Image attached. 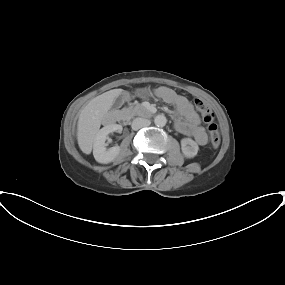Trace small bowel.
Returning a JSON list of instances; mask_svg holds the SVG:
<instances>
[{
    "label": "small bowel",
    "instance_id": "obj_1",
    "mask_svg": "<svg viewBox=\"0 0 285 285\" xmlns=\"http://www.w3.org/2000/svg\"><path fill=\"white\" fill-rule=\"evenodd\" d=\"M154 95L175 107V128L178 132L194 138L199 145L207 143L208 137L199 115L187 98L168 87H159Z\"/></svg>",
    "mask_w": 285,
    "mask_h": 285
}]
</instances>
